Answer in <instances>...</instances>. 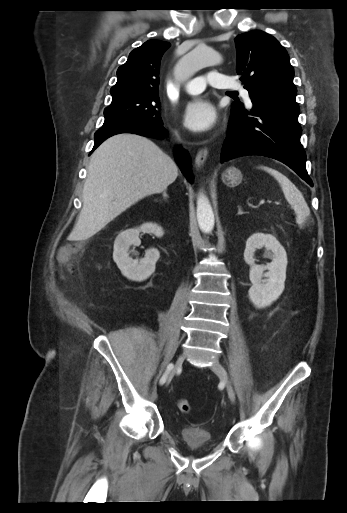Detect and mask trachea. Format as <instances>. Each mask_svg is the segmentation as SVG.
Masks as SVG:
<instances>
[{
	"label": "trachea",
	"mask_w": 347,
	"mask_h": 513,
	"mask_svg": "<svg viewBox=\"0 0 347 513\" xmlns=\"http://www.w3.org/2000/svg\"><path fill=\"white\" fill-rule=\"evenodd\" d=\"M230 93H231V94H236V92H235V91H231Z\"/></svg>",
	"instance_id": "3493384b"
}]
</instances>
